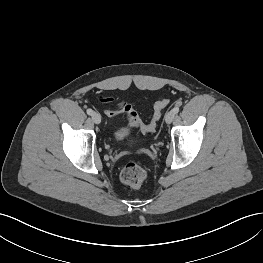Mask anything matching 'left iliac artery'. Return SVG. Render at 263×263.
<instances>
[{"label": "left iliac artery", "mask_w": 263, "mask_h": 263, "mask_svg": "<svg viewBox=\"0 0 263 263\" xmlns=\"http://www.w3.org/2000/svg\"><path fill=\"white\" fill-rule=\"evenodd\" d=\"M175 114H177L179 112V107L175 106L172 110Z\"/></svg>", "instance_id": "left-iliac-artery-1"}]
</instances>
